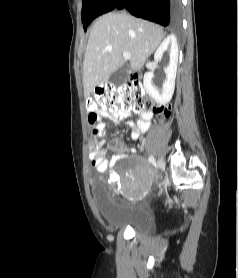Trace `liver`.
<instances>
[{"instance_id": "liver-1", "label": "liver", "mask_w": 238, "mask_h": 278, "mask_svg": "<svg viewBox=\"0 0 238 278\" xmlns=\"http://www.w3.org/2000/svg\"><path fill=\"white\" fill-rule=\"evenodd\" d=\"M164 37L159 25L126 13L111 12L98 18L91 29L83 63L85 95L104 85L124 64L123 52L131 55L129 71L140 70Z\"/></svg>"}]
</instances>
